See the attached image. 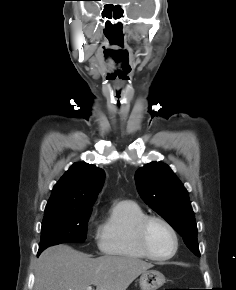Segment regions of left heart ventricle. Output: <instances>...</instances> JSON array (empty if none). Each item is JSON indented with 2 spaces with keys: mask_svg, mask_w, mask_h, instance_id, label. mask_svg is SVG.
Instances as JSON below:
<instances>
[{
  "mask_svg": "<svg viewBox=\"0 0 236 290\" xmlns=\"http://www.w3.org/2000/svg\"><path fill=\"white\" fill-rule=\"evenodd\" d=\"M151 251L158 256L169 255L174 248V240L169 230L158 222L150 224L147 232Z\"/></svg>",
  "mask_w": 236,
  "mask_h": 290,
  "instance_id": "1",
  "label": "left heart ventricle"
}]
</instances>
